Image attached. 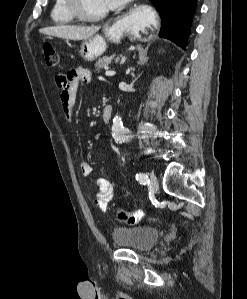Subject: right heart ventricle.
I'll return each instance as SVG.
<instances>
[{
    "label": "right heart ventricle",
    "mask_w": 247,
    "mask_h": 299,
    "mask_svg": "<svg viewBox=\"0 0 247 299\" xmlns=\"http://www.w3.org/2000/svg\"><path fill=\"white\" fill-rule=\"evenodd\" d=\"M50 17L53 23L67 25L75 22L76 18L70 13L66 0H54Z\"/></svg>",
    "instance_id": "e07e8e85"
}]
</instances>
